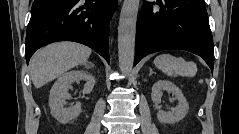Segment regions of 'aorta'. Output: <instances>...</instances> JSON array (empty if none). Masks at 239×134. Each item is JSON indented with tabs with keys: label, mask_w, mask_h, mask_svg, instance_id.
<instances>
[{
	"label": "aorta",
	"mask_w": 239,
	"mask_h": 134,
	"mask_svg": "<svg viewBox=\"0 0 239 134\" xmlns=\"http://www.w3.org/2000/svg\"><path fill=\"white\" fill-rule=\"evenodd\" d=\"M139 0H124L118 26V60L123 74L131 73L134 62Z\"/></svg>",
	"instance_id": "aorta-1"
}]
</instances>
